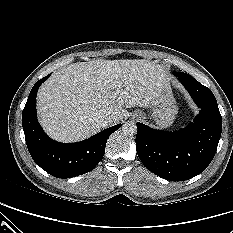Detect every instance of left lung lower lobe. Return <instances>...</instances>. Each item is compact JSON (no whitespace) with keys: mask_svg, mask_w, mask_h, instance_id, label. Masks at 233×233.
<instances>
[{"mask_svg":"<svg viewBox=\"0 0 233 233\" xmlns=\"http://www.w3.org/2000/svg\"><path fill=\"white\" fill-rule=\"evenodd\" d=\"M188 90L199 114L186 128L166 132L137 123L136 148L154 174L184 181L203 172L212 161L222 131V118L212 91L189 75H176Z\"/></svg>","mask_w":233,"mask_h":233,"instance_id":"0a47b994","label":"left lung lower lobe"}]
</instances>
